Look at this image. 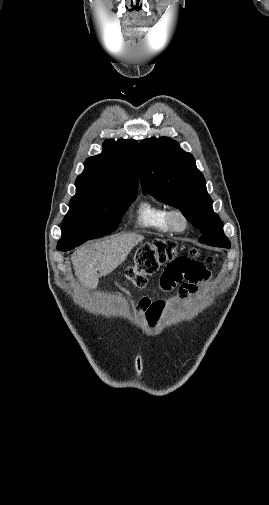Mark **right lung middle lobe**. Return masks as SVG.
<instances>
[{
  "label": "right lung middle lobe",
  "instance_id": "dd1d6c3e",
  "mask_svg": "<svg viewBox=\"0 0 269 505\" xmlns=\"http://www.w3.org/2000/svg\"><path fill=\"white\" fill-rule=\"evenodd\" d=\"M135 199V194L75 195L63 219L57 249L68 251L87 240L115 231L130 202Z\"/></svg>",
  "mask_w": 269,
  "mask_h": 505
}]
</instances>
